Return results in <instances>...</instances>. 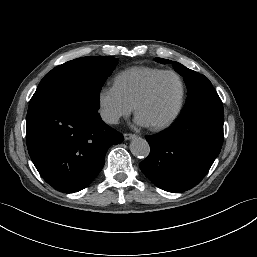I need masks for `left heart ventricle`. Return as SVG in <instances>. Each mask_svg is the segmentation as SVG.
<instances>
[{
    "mask_svg": "<svg viewBox=\"0 0 257 257\" xmlns=\"http://www.w3.org/2000/svg\"><path fill=\"white\" fill-rule=\"evenodd\" d=\"M179 97L178 80L172 75H166L155 84L150 96L140 106L138 114L150 125L161 123L172 115Z\"/></svg>",
    "mask_w": 257,
    "mask_h": 257,
    "instance_id": "1",
    "label": "left heart ventricle"
}]
</instances>
